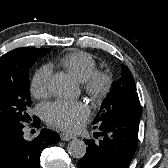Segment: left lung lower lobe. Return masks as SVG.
Listing matches in <instances>:
<instances>
[{
  "label": "left lung lower lobe",
  "instance_id": "left-lung-lower-lobe-1",
  "mask_svg": "<svg viewBox=\"0 0 168 168\" xmlns=\"http://www.w3.org/2000/svg\"><path fill=\"white\" fill-rule=\"evenodd\" d=\"M99 129L102 139L85 140L88 148L78 168H127L137 149L139 122L118 117L100 123Z\"/></svg>",
  "mask_w": 168,
  "mask_h": 168
}]
</instances>
